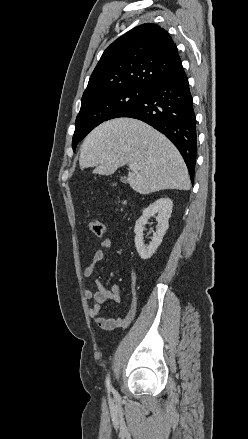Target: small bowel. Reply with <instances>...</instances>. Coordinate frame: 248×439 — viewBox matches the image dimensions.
<instances>
[{"label":"small bowel","instance_id":"1","mask_svg":"<svg viewBox=\"0 0 248 439\" xmlns=\"http://www.w3.org/2000/svg\"><path fill=\"white\" fill-rule=\"evenodd\" d=\"M111 241L104 239L100 243V248L95 251L92 256L91 262L83 270V276L88 278L93 273L99 262L104 258V252L111 248ZM96 290L85 289L84 297L90 302L88 309L89 316L95 321V323L106 330H112L119 327H127L135 318L137 313L138 293L136 285V275L134 272L131 274V294L132 299L127 314L123 317L106 318L101 314L100 305L108 302L120 303L121 302V288L118 284H111L106 287L100 280H96Z\"/></svg>","mask_w":248,"mask_h":439}]
</instances>
